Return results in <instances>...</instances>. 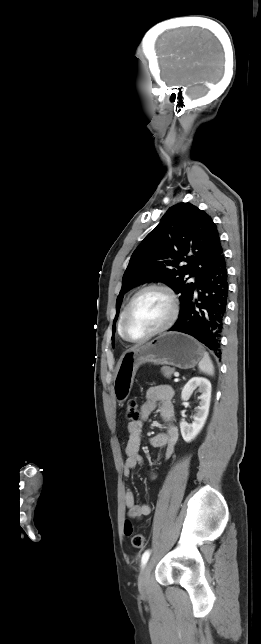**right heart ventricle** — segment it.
<instances>
[{"mask_svg":"<svg viewBox=\"0 0 261 644\" xmlns=\"http://www.w3.org/2000/svg\"><path fill=\"white\" fill-rule=\"evenodd\" d=\"M122 315H123V313H122ZM122 315H121V318H120V321H119V328H118V330H119V334H120V336L124 339V337H123V335H122V333H121V320H122Z\"/></svg>","mask_w":261,"mask_h":644,"instance_id":"e07e8e85","label":"right heart ventricle"}]
</instances>
